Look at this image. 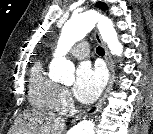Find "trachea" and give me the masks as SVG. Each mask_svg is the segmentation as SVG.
<instances>
[{"mask_svg":"<svg viewBox=\"0 0 153 134\" xmlns=\"http://www.w3.org/2000/svg\"><path fill=\"white\" fill-rule=\"evenodd\" d=\"M96 52L100 56H103L105 54L104 49L102 47H100V46L96 48Z\"/></svg>","mask_w":153,"mask_h":134,"instance_id":"trachea-1","label":"trachea"}]
</instances>
